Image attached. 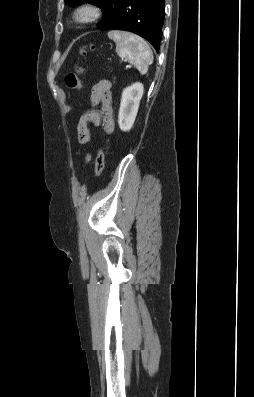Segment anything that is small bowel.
<instances>
[{
	"label": "small bowel",
	"instance_id": "small-bowel-1",
	"mask_svg": "<svg viewBox=\"0 0 254 397\" xmlns=\"http://www.w3.org/2000/svg\"><path fill=\"white\" fill-rule=\"evenodd\" d=\"M91 105L93 108L81 116L77 127L78 139L82 144L90 140L89 124H93L97 127L101 126L106 133H112L114 130L110 81L101 80L92 87ZM98 105L101 106L100 110L94 108ZM89 160L90 155L87 156V161Z\"/></svg>",
	"mask_w": 254,
	"mask_h": 397
}]
</instances>
